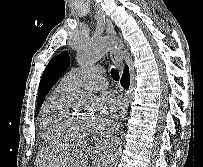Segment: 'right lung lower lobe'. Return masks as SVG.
<instances>
[{
    "instance_id": "obj_1",
    "label": "right lung lower lobe",
    "mask_w": 203,
    "mask_h": 167,
    "mask_svg": "<svg viewBox=\"0 0 203 167\" xmlns=\"http://www.w3.org/2000/svg\"><path fill=\"white\" fill-rule=\"evenodd\" d=\"M129 81H130L129 68L126 66L124 70V74L121 79L122 86L127 89L129 85Z\"/></svg>"
}]
</instances>
